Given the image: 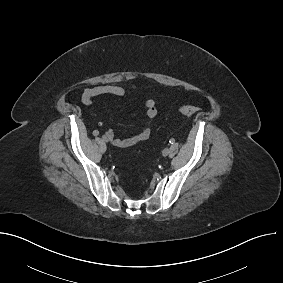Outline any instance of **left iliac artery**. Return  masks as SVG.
<instances>
[{"mask_svg":"<svg viewBox=\"0 0 283 283\" xmlns=\"http://www.w3.org/2000/svg\"><path fill=\"white\" fill-rule=\"evenodd\" d=\"M174 142H175V140H174L173 138H171V139L169 140V143H170V144H174Z\"/></svg>","mask_w":283,"mask_h":283,"instance_id":"left-iliac-artery-1","label":"left iliac artery"}]
</instances>
